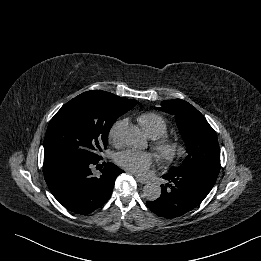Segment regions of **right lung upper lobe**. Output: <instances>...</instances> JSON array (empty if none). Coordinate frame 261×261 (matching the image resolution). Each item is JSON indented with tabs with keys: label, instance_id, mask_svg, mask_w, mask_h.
Listing matches in <instances>:
<instances>
[{
	"label": "right lung upper lobe",
	"instance_id": "1",
	"mask_svg": "<svg viewBox=\"0 0 261 261\" xmlns=\"http://www.w3.org/2000/svg\"><path fill=\"white\" fill-rule=\"evenodd\" d=\"M85 94H90L93 95L99 99L102 100H115V101H126L129 99L123 98V97H118L112 93L105 92V91H99V90H93V91H87L84 92Z\"/></svg>",
	"mask_w": 261,
	"mask_h": 261
}]
</instances>
